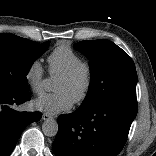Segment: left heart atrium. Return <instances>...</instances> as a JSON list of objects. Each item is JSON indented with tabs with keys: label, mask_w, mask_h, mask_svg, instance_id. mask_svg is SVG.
<instances>
[{
	"label": "left heart atrium",
	"mask_w": 156,
	"mask_h": 156,
	"mask_svg": "<svg viewBox=\"0 0 156 156\" xmlns=\"http://www.w3.org/2000/svg\"><path fill=\"white\" fill-rule=\"evenodd\" d=\"M73 100L63 92L44 94L33 101V107L47 114L55 115L71 109Z\"/></svg>",
	"instance_id": "39dd6f15"
}]
</instances>
